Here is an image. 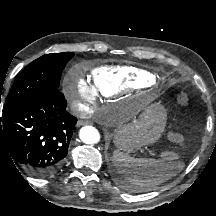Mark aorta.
<instances>
[{
    "label": "aorta",
    "mask_w": 216,
    "mask_h": 216,
    "mask_svg": "<svg viewBox=\"0 0 216 216\" xmlns=\"http://www.w3.org/2000/svg\"><path fill=\"white\" fill-rule=\"evenodd\" d=\"M80 139L86 144H96L100 141V134L93 126H84L80 130Z\"/></svg>",
    "instance_id": "762f6f07"
}]
</instances>
